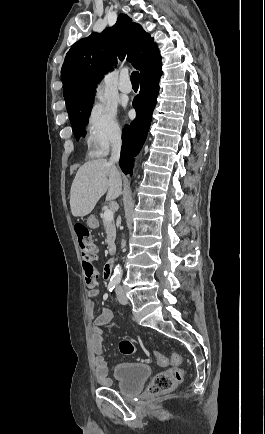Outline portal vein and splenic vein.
Listing matches in <instances>:
<instances>
[{
  "label": "portal vein and splenic vein",
  "mask_w": 265,
  "mask_h": 434,
  "mask_svg": "<svg viewBox=\"0 0 265 434\" xmlns=\"http://www.w3.org/2000/svg\"><path fill=\"white\" fill-rule=\"evenodd\" d=\"M103 220H105V222H112L113 212H111V210H105L103 214Z\"/></svg>",
  "instance_id": "18ae733b"
}]
</instances>
